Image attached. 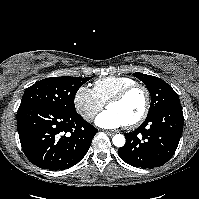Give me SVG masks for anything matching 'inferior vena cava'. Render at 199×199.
Returning <instances> with one entry per match:
<instances>
[{"label":"inferior vena cava","instance_id":"1","mask_svg":"<svg viewBox=\"0 0 199 199\" xmlns=\"http://www.w3.org/2000/svg\"><path fill=\"white\" fill-rule=\"evenodd\" d=\"M94 116H95L94 113H90L89 116H88V118H91V119H92Z\"/></svg>","mask_w":199,"mask_h":199}]
</instances>
